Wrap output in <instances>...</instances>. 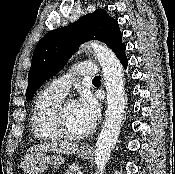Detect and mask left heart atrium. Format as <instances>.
<instances>
[{
  "label": "left heart atrium",
  "instance_id": "obj_1",
  "mask_svg": "<svg viewBox=\"0 0 175 174\" xmlns=\"http://www.w3.org/2000/svg\"><path fill=\"white\" fill-rule=\"evenodd\" d=\"M76 104L87 126L89 128L93 127L100 115L97 101L89 93H84Z\"/></svg>",
  "mask_w": 175,
  "mask_h": 174
}]
</instances>
